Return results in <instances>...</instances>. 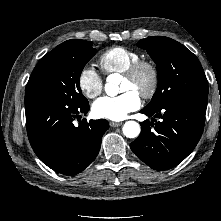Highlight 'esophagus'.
<instances>
[{
	"mask_svg": "<svg viewBox=\"0 0 221 221\" xmlns=\"http://www.w3.org/2000/svg\"><path fill=\"white\" fill-rule=\"evenodd\" d=\"M121 125H122V122H110L111 127H118V126H121Z\"/></svg>",
	"mask_w": 221,
	"mask_h": 221,
	"instance_id": "obj_1",
	"label": "esophagus"
}]
</instances>
